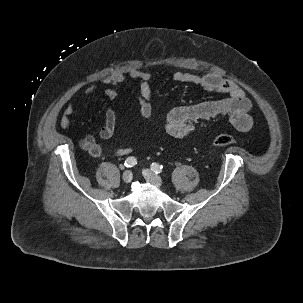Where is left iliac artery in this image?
<instances>
[{
  "label": "left iliac artery",
  "instance_id": "left-iliac-artery-1",
  "mask_svg": "<svg viewBox=\"0 0 303 303\" xmlns=\"http://www.w3.org/2000/svg\"><path fill=\"white\" fill-rule=\"evenodd\" d=\"M162 168L163 166L162 165H159L158 163H152L151 164V170L156 173V174H159L162 172Z\"/></svg>",
  "mask_w": 303,
  "mask_h": 303
}]
</instances>
